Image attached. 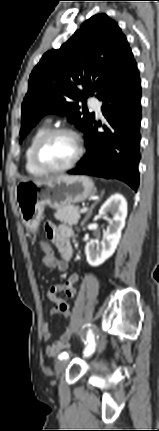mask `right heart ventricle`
I'll list each match as a JSON object with an SVG mask.
<instances>
[{
	"label": "right heart ventricle",
	"instance_id": "1",
	"mask_svg": "<svg viewBox=\"0 0 159 431\" xmlns=\"http://www.w3.org/2000/svg\"><path fill=\"white\" fill-rule=\"evenodd\" d=\"M48 130V124L44 123L40 125L31 135L28 144L25 149V168L26 171L34 176V177H41L46 174L43 170H41L33 160V148L36 143V141L41 137V135Z\"/></svg>",
	"mask_w": 159,
	"mask_h": 431
}]
</instances>
